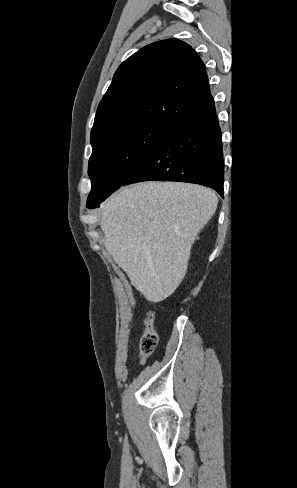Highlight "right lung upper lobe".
Here are the masks:
<instances>
[{
    "mask_svg": "<svg viewBox=\"0 0 297 488\" xmlns=\"http://www.w3.org/2000/svg\"><path fill=\"white\" fill-rule=\"evenodd\" d=\"M205 65L183 41L167 39L126 59L103 96L91 130V145L125 128L172 127L213 103Z\"/></svg>",
    "mask_w": 297,
    "mask_h": 488,
    "instance_id": "cb5924a9",
    "label": "right lung upper lobe"
}]
</instances>
